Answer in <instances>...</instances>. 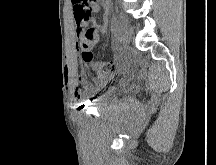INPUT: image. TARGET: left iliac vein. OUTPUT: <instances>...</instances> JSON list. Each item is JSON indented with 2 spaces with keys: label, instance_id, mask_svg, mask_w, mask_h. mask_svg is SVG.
<instances>
[{
  "label": "left iliac vein",
  "instance_id": "left-iliac-vein-1",
  "mask_svg": "<svg viewBox=\"0 0 216 165\" xmlns=\"http://www.w3.org/2000/svg\"><path fill=\"white\" fill-rule=\"evenodd\" d=\"M115 35L117 39L123 44H126L130 41L131 30L125 20L121 19L117 22V26L115 28Z\"/></svg>",
  "mask_w": 216,
  "mask_h": 165
}]
</instances>
